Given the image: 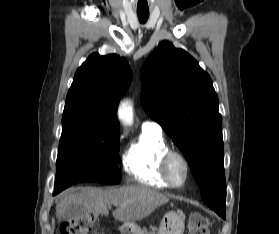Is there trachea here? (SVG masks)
Masks as SVG:
<instances>
[{
    "mask_svg": "<svg viewBox=\"0 0 279 234\" xmlns=\"http://www.w3.org/2000/svg\"><path fill=\"white\" fill-rule=\"evenodd\" d=\"M137 15L141 23H145L149 17L148 12H137Z\"/></svg>",
    "mask_w": 279,
    "mask_h": 234,
    "instance_id": "trachea-1",
    "label": "trachea"
}]
</instances>
